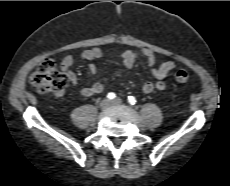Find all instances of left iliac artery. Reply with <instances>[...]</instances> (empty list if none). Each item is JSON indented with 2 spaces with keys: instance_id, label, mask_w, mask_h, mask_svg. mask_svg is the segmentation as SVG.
Wrapping results in <instances>:
<instances>
[{
  "instance_id": "44dca946",
  "label": "left iliac artery",
  "mask_w": 230,
  "mask_h": 186,
  "mask_svg": "<svg viewBox=\"0 0 230 186\" xmlns=\"http://www.w3.org/2000/svg\"><path fill=\"white\" fill-rule=\"evenodd\" d=\"M127 100L131 105H134L136 103V99L133 96H128Z\"/></svg>"
}]
</instances>
